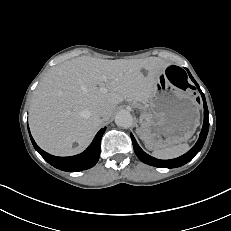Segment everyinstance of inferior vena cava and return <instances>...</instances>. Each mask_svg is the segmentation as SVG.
I'll return each mask as SVG.
<instances>
[{"mask_svg": "<svg viewBox=\"0 0 231 231\" xmlns=\"http://www.w3.org/2000/svg\"><path fill=\"white\" fill-rule=\"evenodd\" d=\"M98 116L101 117L103 120H106L110 117V114L107 110L103 109L98 112Z\"/></svg>", "mask_w": 231, "mask_h": 231, "instance_id": "inferior-vena-cava-1", "label": "inferior vena cava"}]
</instances>
